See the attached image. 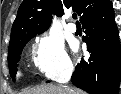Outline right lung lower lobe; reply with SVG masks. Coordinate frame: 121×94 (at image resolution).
<instances>
[{
  "mask_svg": "<svg viewBox=\"0 0 121 94\" xmlns=\"http://www.w3.org/2000/svg\"><path fill=\"white\" fill-rule=\"evenodd\" d=\"M114 19L112 2L108 1L81 20L91 56L75 67L71 81L90 94H118L119 91L121 44Z\"/></svg>",
  "mask_w": 121,
  "mask_h": 94,
  "instance_id": "right-lung-lower-lobe-1",
  "label": "right lung lower lobe"
}]
</instances>
